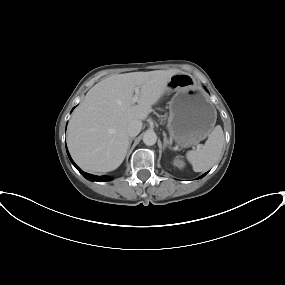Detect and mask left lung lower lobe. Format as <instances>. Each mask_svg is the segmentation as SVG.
Returning a JSON list of instances; mask_svg holds the SVG:
<instances>
[{"mask_svg": "<svg viewBox=\"0 0 285 285\" xmlns=\"http://www.w3.org/2000/svg\"><path fill=\"white\" fill-rule=\"evenodd\" d=\"M203 176H205V174H204V175H202L200 178H202Z\"/></svg>", "mask_w": 285, "mask_h": 285, "instance_id": "left-lung-lower-lobe-1", "label": "left lung lower lobe"}]
</instances>
